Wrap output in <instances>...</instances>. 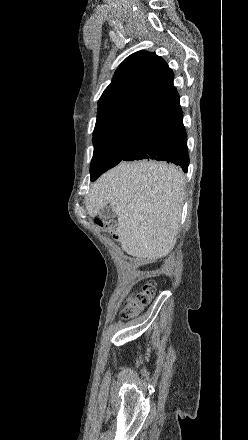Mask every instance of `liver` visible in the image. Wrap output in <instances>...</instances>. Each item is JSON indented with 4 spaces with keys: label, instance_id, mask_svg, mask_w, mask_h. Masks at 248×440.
I'll list each match as a JSON object with an SVG mask.
<instances>
[{
    "label": "liver",
    "instance_id": "6515ba94",
    "mask_svg": "<svg viewBox=\"0 0 248 440\" xmlns=\"http://www.w3.org/2000/svg\"><path fill=\"white\" fill-rule=\"evenodd\" d=\"M185 177L165 162H121L92 186L86 209L92 216L110 204L123 250L157 259L172 251L180 227Z\"/></svg>",
    "mask_w": 248,
    "mask_h": 440
}]
</instances>
